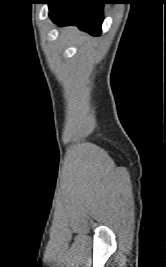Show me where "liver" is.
Instances as JSON below:
<instances>
[{"mask_svg": "<svg viewBox=\"0 0 166 267\" xmlns=\"http://www.w3.org/2000/svg\"><path fill=\"white\" fill-rule=\"evenodd\" d=\"M63 33L67 34L70 38H76L80 34V31L76 27H67ZM85 40H88V37L81 35L79 36L77 43L83 45Z\"/></svg>", "mask_w": 166, "mask_h": 267, "instance_id": "6515ba94", "label": "liver"}]
</instances>
